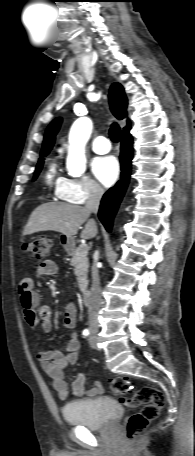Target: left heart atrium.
Segmentation results:
<instances>
[{"mask_svg":"<svg viewBox=\"0 0 195 456\" xmlns=\"http://www.w3.org/2000/svg\"><path fill=\"white\" fill-rule=\"evenodd\" d=\"M91 167L94 176L106 187L114 184L119 176V163L114 156L98 157Z\"/></svg>","mask_w":195,"mask_h":456,"instance_id":"obj_1","label":"left heart atrium"}]
</instances>
